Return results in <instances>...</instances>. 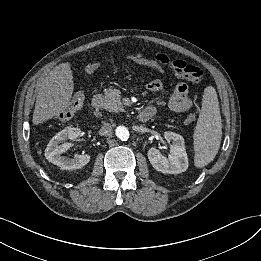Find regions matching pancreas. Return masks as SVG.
Returning a JSON list of instances; mask_svg holds the SVG:
<instances>
[{
    "mask_svg": "<svg viewBox=\"0 0 261 261\" xmlns=\"http://www.w3.org/2000/svg\"><path fill=\"white\" fill-rule=\"evenodd\" d=\"M121 92L118 89L109 88L105 91V109L110 112L124 111L121 102Z\"/></svg>",
    "mask_w": 261,
    "mask_h": 261,
    "instance_id": "obj_1",
    "label": "pancreas"
}]
</instances>
